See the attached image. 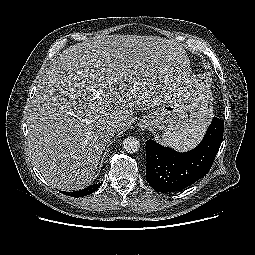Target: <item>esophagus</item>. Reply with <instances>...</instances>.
Here are the masks:
<instances>
[{"label": "esophagus", "mask_w": 255, "mask_h": 255, "mask_svg": "<svg viewBox=\"0 0 255 255\" xmlns=\"http://www.w3.org/2000/svg\"><path fill=\"white\" fill-rule=\"evenodd\" d=\"M149 124L146 123L145 121H140L139 123V127L143 130L145 129Z\"/></svg>", "instance_id": "obj_1"}]
</instances>
